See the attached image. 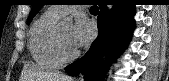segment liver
I'll use <instances>...</instances> for the list:
<instances>
[{"label": "liver", "mask_w": 169, "mask_h": 81, "mask_svg": "<svg viewBox=\"0 0 169 81\" xmlns=\"http://www.w3.org/2000/svg\"><path fill=\"white\" fill-rule=\"evenodd\" d=\"M24 74L27 81H73L67 75L57 72L40 71L35 66H26Z\"/></svg>", "instance_id": "1"}]
</instances>
